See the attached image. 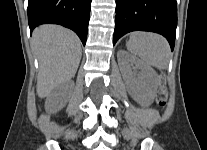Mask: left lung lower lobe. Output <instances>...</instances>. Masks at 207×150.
<instances>
[{
    "label": "left lung lower lobe",
    "mask_w": 207,
    "mask_h": 150,
    "mask_svg": "<svg viewBox=\"0 0 207 150\" xmlns=\"http://www.w3.org/2000/svg\"><path fill=\"white\" fill-rule=\"evenodd\" d=\"M177 26L176 0H116L113 45L131 31L156 32L174 48Z\"/></svg>",
    "instance_id": "1"
}]
</instances>
